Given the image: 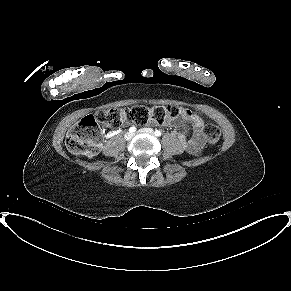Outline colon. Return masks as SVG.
<instances>
[{"mask_svg":"<svg viewBox=\"0 0 291 291\" xmlns=\"http://www.w3.org/2000/svg\"><path fill=\"white\" fill-rule=\"evenodd\" d=\"M178 107L165 106H134L131 108H111L98 111L95 114L86 115L78 124L72 127L66 136L67 149L75 154L92 157L100 148L101 127H113L124 121L144 125L147 123L162 124L166 119L179 115ZM220 129L214 124L204 126V136L209 144H215L220 138ZM199 155V150L194 152Z\"/></svg>","mask_w":291,"mask_h":291,"instance_id":"colon-1","label":"colon"}]
</instances>
